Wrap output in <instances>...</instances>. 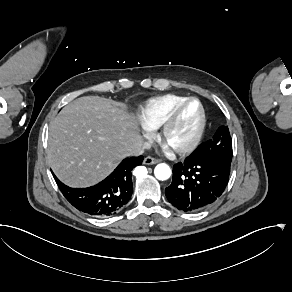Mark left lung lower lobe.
I'll return each mask as SVG.
<instances>
[{
  "mask_svg": "<svg viewBox=\"0 0 292 292\" xmlns=\"http://www.w3.org/2000/svg\"><path fill=\"white\" fill-rule=\"evenodd\" d=\"M231 159L201 158L195 151L173 167V179L165 189L168 201L184 212H196L213 204L225 190Z\"/></svg>",
  "mask_w": 292,
  "mask_h": 292,
  "instance_id": "left-lung-lower-lobe-1",
  "label": "left lung lower lobe"
}]
</instances>
